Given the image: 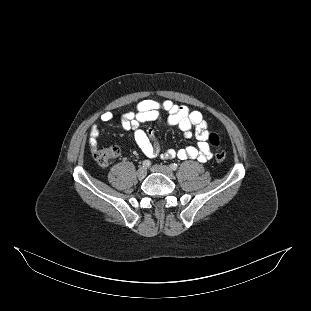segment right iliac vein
Instances as JSON below:
<instances>
[{
  "label": "right iliac vein",
  "mask_w": 311,
  "mask_h": 311,
  "mask_svg": "<svg viewBox=\"0 0 311 311\" xmlns=\"http://www.w3.org/2000/svg\"><path fill=\"white\" fill-rule=\"evenodd\" d=\"M146 174H147V171H146V169L143 168V167L139 168L138 171H137V177H138L140 180L144 179V178L146 177Z\"/></svg>",
  "instance_id": "obj_1"
}]
</instances>
